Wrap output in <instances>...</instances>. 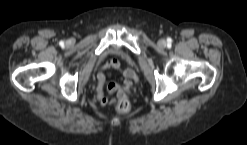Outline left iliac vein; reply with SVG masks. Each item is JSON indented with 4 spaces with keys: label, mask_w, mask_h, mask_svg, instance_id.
Instances as JSON below:
<instances>
[{
    "label": "left iliac vein",
    "mask_w": 247,
    "mask_h": 145,
    "mask_svg": "<svg viewBox=\"0 0 247 145\" xmlns=\"http://www.w3.org/2000/svg\"><path fill=\"white\" fill-rule=\"evenodd\" d=\"M166 45H167V42H166L165 39H160V40L158 41V46H159V47L164 48V47H166Z\"/></svg>",
    "instance_id": "left-iliac-vein-1"
}]
</instances>
